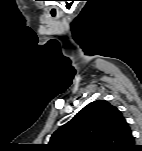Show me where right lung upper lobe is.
I'll list each match as a JSON object with an SVG mask.
<instances>
[{"label":"right lung upper lobe","instance_id":"1","mask_svg":"<svg viewBox=\"0 0 142 151\" xmlns=\"http://www.w3.org/2000/svg\"><path fill=\"white\" fill-rule=\"evenodd\" d=\"M133 143L130 126L122 113L109 102L97 100L55 131L48 148L52 151H125Z\"/></svg>","mask_w":142,"mask_h":151}]
</instances>
